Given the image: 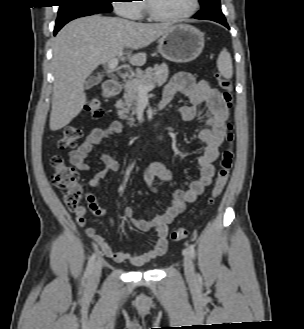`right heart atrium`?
<instances>
[{"mask_svg":"<svg viewBox=\"0 0 304 329\" xmlns=\"http://www.w3.org/2000/svg\"><path fill=\"white\" fill-rule=\"evenodd\" d=\"M114 2V8L118 15L129 19L141 18L142 4L133 3L140 2V0H115Z\"/></svg>","mask_w":304,"mask_h":329,"instance_id":"d8ad5b80","label":"right heart atrium"}]
</instances>
